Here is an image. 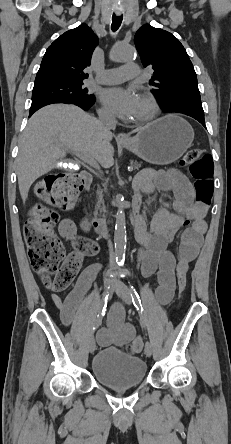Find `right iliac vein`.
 <instances>
[{
	"label": "right iliac vein",
	"instance_id": "obj_1",
	"mask_svg": "<svg viewBox=\"0 0 231 444\" xmlns=\"http://www.w3.org/2000/svg\"><path fill=\"white\" fill-rule=\"evenodd\" d=\"M95 349H96L95 340L92 338L89 344V350L91 353H94Z\"/></svg>",
	"mask_w": 231,
	"mask_h": 444
}]
</instances>
